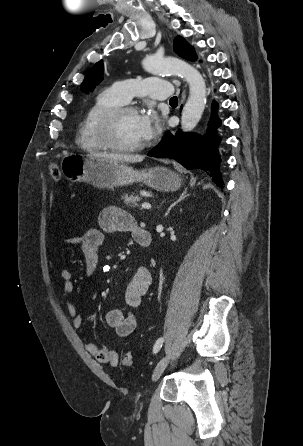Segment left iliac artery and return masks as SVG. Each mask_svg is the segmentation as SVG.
I'll list each match as a JSON object with an SVG mask.
<instances>
[{
    "label": "left iliac artery",
    "mask_w": 303,
    "mask_h": 446,
    "mask_svg": "<svg viewBox=\"0 0 303 446\" xmlns=\"http://www.w3.org/2000/svg\"><path fill=\"white\" fill-rule=\"evenodd\" d=\"M163 342H164V338H163V337H160V338L155 342L154 347H153V352H154L155 354L158 353V351H159L160 348L162 347Z\"/></svg>",
    "instance_id": "left-iliac-artery-1"
}]
</instances>
